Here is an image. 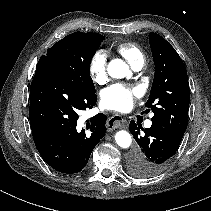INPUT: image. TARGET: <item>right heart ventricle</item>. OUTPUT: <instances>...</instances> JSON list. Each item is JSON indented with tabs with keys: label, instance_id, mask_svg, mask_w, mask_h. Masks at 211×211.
Segmentation results:
<instances>
[{
	"label": "right heart ventricle",
	"instance_id": "1",
	"mask_svg": "<svg viewBox=\"0 0 211 211\" xmlns=\"http://www.w3.org/2000/svg\"><path fill=\"white\" fill-rule=\"evenodd\" d=\"M116 51L121 54L132 67L144 63V52L134 43H120L119 45H117Z\"/></svg>",
	"mask_w": 211,
	"mask_h": 211
}]
</instances>
